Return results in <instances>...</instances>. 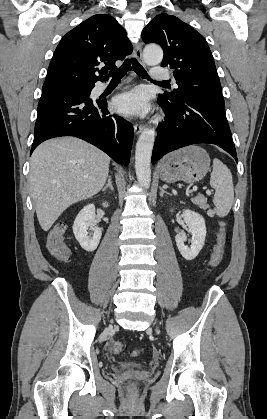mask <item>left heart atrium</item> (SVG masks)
<instances>
[{
  "label": "left heart atrium",
  "instance_id": "1",
  "mask_svg": "<svg viewBox=\"0 0 267 419\" xmlns=\"http://www.w3.org/2000/svg\"><path fill=\"white\" fill-rule=\"evenodd\" d=\"M113 107L121 114L143 116L150 110L149 95L145 89L136 88L117 96L113 101Z\"/></svg>",
  "mask_w": 267,
  "mask_h": 419
}]
</instances>
